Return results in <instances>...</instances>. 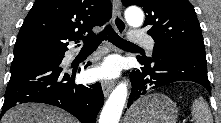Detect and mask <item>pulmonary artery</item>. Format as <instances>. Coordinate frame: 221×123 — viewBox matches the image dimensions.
Masks as SVG:
<instances>
[{
    "label": "pulmonary artery",
    "instance_id": "e3ab8cb5",
    "mask_svg": "<svg viewBox=\"0 0 221 123\" xmlns=\"http://www.w3.org/2000/svg\"><path fill=\"white\" fill-rule=\"evenodd\" d=\"M130 40L133 42L143 43L148 49L152 50L154 47V40L140 30L132 31Z\"/></svg>",
    "mask_w": 221,
    "mask_h": 123
}]
</instances>
